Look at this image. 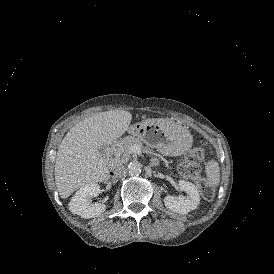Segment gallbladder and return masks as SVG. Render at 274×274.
<instances>
[{
    "label": "gallbladder",
    "mask_w": 274,
    "mask_h": 274,
    "mask_svg": "<svg viewBox=\"0 0 274 274\" xmlns=\"http://www.w3.org/2000/svg\"><path fill=\"white\" fill-rule=\"evenodd\" d=\"M99 151H100L101 154H103L104 153V147L103 146L100 147Z\"/></svg>",
    "instance_id": "1"
}]
</instances>
